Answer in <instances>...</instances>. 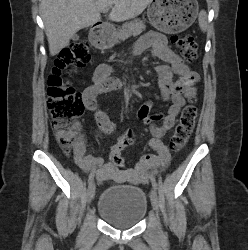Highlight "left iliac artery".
Instances as JSON below:
<instances>
[{"mask_svg":"<svg viewBox=\"0 0 248 250\" xmlns=\"http://www.w3.org/2000/svg\"><path fill=\"white\" fill-rule=\"evenodd\" d=\"M151 182H152V186L155 190H157V183L156 180L154 178H151Z\"/></svg>","mask_w":248,"mask_h":250,"instance_id":"44dca946","label":"left iliac artery"}]
</instances>
